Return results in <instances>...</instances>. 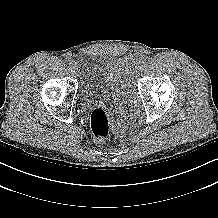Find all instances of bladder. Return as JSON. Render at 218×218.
Wrapping results in <instances>:
<instances>
[{"mask_svg": "<svg viewBox=\"0 0 218 218\" xmlns=\"http://www.w3.org/2000/svg\"><path fill=\"white\" fill-rule=\"evenodd\" d=\"M79 95L85 104L107 101L120 94L130 83L134 59L110 57L90 52L79 56Z\"/></svg>", "mask_w": 218, "mask_h": 218, "instance_id": "31cf9c89", "label": "bladder"}]
</instances>
